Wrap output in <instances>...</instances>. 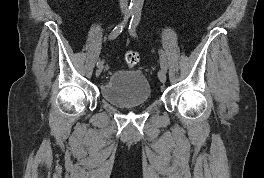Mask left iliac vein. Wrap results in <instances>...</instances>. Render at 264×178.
I'll return each instance as SVG.
<instances>
[{
    "label": "left iliac vein",
    "instance_id": "1",
    "mask_svg": "<svg viewBox=\"0 0 264 178\" xmlns=\"http://www.w3.org/2000/svg\"><path fill=\"white\" fill-rule=\"evenodd\" d=\"M158 78L162 83L166 82V71L163 69H160L158 72Z\"/></svg>",
    "mask_w": 264,
    "mask_h": 178
}]
</instances>
